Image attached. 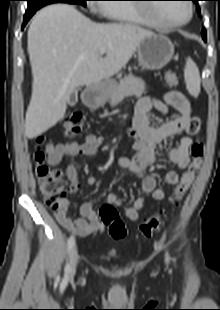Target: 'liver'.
Here are the masks:
<instances>
[{"mask_svg":"<svg viewBox=\"0 0 220 310\" xmlns=\"http://www.w3.org/2000/svg\"><path fill=\"white\" fill-rule=\"evenodd\" d=\"M152 35V31L132 24L95 23L67 4L40 10L28 30L33 83L26 136L35 138L56 125L77 87L110 79ZM100 49L106 50L104 58Z\"/></svg>","mask_w":220,"mask_h":310,"instance_id":"liver-1","label":"liver"}]
</instances>
